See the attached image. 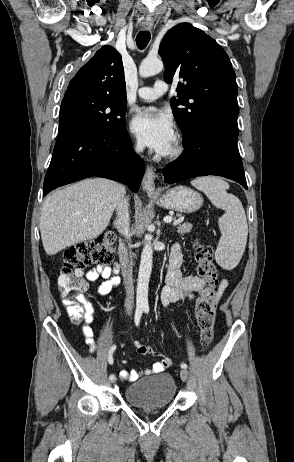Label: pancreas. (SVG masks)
Returning a JSON list of instances; mask_svg holds the SVG:
<instances>
[{"mask_svg":"<svg viewBox=\"0 0 294 462\" xmlns=\"http://www.w3.org/2000/svg\"><path fill=\"white\" fill-rule=\"evenodd\" d=\"M192 229V225L189 224V223H183L181 225H179L178 227V233L179 234H186V233H189Z\"/></svg>","mask_w":294,"mask_h":462,"instance_id":"obj_1","label":"pancreas"}]
</instances>
